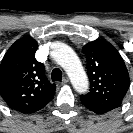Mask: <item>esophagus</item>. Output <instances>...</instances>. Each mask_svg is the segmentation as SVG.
I'll list each match as a JSON object with an SVG mask.
<instances>
[{"mask_svg":"<svg viewBox=\"0 0 133 133\" xmlns=\"http://www.w3.org/2000/svg\"><path fill=\"white\" fill-rule=\"evenodd\" d=\"M69 82V78L68 77H64L62 80V84L65 85Z\"/></svg>","mask_w":133,"mask_h":133,"instance_id":"esophagus-1","label":"esophagus"}]
</instances>
